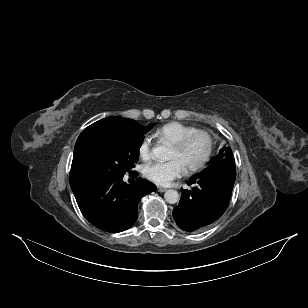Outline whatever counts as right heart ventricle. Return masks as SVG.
I'll return each instance as SVG.
<instances>
[{"mask_svg": "<svg viewBox=\"0 0 308 308\" xmlns=\"http://www.w3.org/2000/svg\"><path fill=\"white\" fill-rule=\"evenodd\" d=\"M197 130L196 127L177 121H172L157 128L153 136L160 142L174 144L188 133Z\"/></svg>", "mask_w": 308, "mask_h": 308, "instance_id": "1", "label": "right heart ventricle"}]
</instances>
